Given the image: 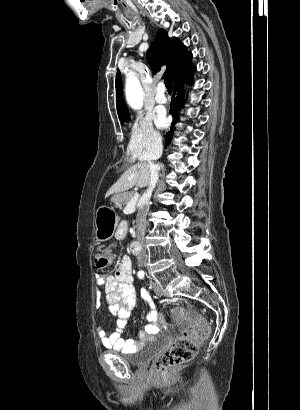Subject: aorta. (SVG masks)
Returning <instances> with one entry per match:
<instances>
[{
    "label": "aorta",
    "instance_id": "1",
    "mask_svg": "<svg viewBox=\"0 0 300 410\" xmlns=\"http://www.w3.org/2000/svg\"><path fill=\"white\" fill-rule=\"evenodd\" d=\"M125 94L127 103L131 108L135 110L141 109L144 92L134 72H130L126 75Z\"/></svg>",
    "mask_w": 300,
    "mask_h": 410
}]
</instances>
